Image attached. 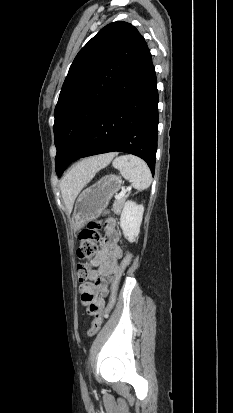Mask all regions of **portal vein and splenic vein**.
<instances>
[{
    "label": "portal vein and splenic vein",
    "mask_w": 233,
    "mask_h": 413,
    "mask_svg": "<svg viewBox=\"0 0 233 413\" xmlns=\"http://www.w3.org/2000/svg\"><path fill=\"white\" fill-rule=\"evenodd\" d=\"M127 190L126 189H122V191L116 196V200L121 199L122 197L125 196Z\"/></svg>",
    "instance_id": "obj_1"
}]
</instances>
